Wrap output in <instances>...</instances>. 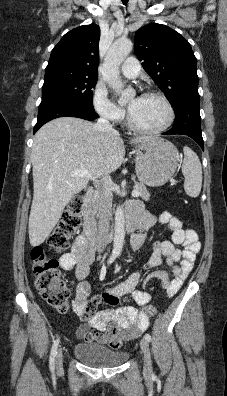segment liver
<instances>
[{"label":"liver","instance_id":"1","mask_svg":"<svg viewBox=\"0 0 227 396\" xmlns=\"http://www.w3.org/2000/svg\"><path fill=\"white\" fill-rule=\"evenodd\" d=\"M151 137H136L133 144ZM125 157L117 132L102 133L95 124L76 117H60L42 126L34 136L32 166L34 195L29 216L32 246L42 244L58 223L65 206L87 187L89 178L72 177L87 170L93 177L116 171Z\"/></svg>","mask_w":227,"mask_h":396}]
</instances>
